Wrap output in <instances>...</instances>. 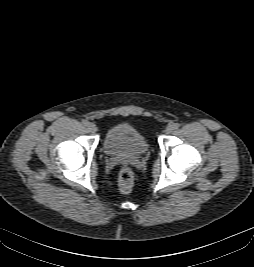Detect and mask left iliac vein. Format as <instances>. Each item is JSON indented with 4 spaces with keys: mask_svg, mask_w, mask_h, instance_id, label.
Masks as SVG:
<instances>
[{
    "mask_svg": "<svg viewBox=\"0 0 254 267\" xmlns=\"http://www.w3.org/2000/svg\"><path fill=\"white\" fill-rule=\"evenodd\" d=\"M175 127L173 124L167 126V128L165 129V133L166 134H171L174 131Z\"/></svg>",
    "mask_w": 254,
    "mask_h": 267,
    "instance_id": "1",
    "label": "left iliac vein"
}]
</instances>
